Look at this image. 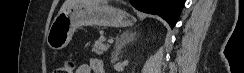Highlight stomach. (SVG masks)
<instances>
[{"label":"stomach","instance_id":"stomach-1","mask_svg":"<svg viewBox=\"0 0 244 73\" xmlns=\"http://www.w3.org/2000/svg\"><path fill=\"white\" fill-rule=\"evenodd\" d=\"M134 22L133 16L110 5L72 3L53 20L47 44L53 50L65 48L80 26L128 27Z\"/></svg>","mask_w":244,"mask_h":73}]
</instances>
